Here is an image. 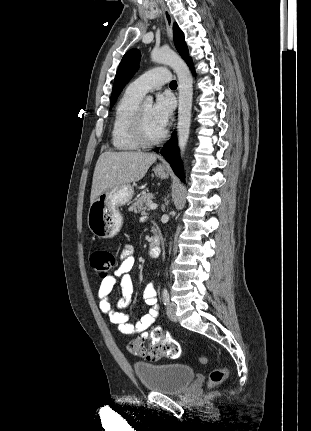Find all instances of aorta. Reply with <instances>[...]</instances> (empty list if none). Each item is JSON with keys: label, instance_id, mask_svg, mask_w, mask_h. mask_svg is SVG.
Wrapping results in <instances>:
<instances>
[{"label": "aorta", "instance_id": "aorta-1", "mask_svg": "<svg viewBox=\"0 0 311 431\" xmlns=\"http://www.w3.org/2000/svg\"><path fill=\"white\" fill-rule=\"evenodd\" d=\"M151 62L155 64H166L170 66L177 74L179 104H178V148L180 150V158H184L187 142L189 140L191 126V110L193 100V78L189 72V68L175 52L172 50H152ZM154 104L152 96H146L144 106H152Z\"/></svg>", "mask_w": 311, "mask_h": 431}]
</instances>
